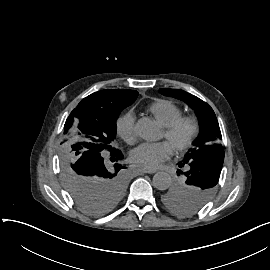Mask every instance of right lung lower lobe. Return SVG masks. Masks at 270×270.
<instances>
[{"mask_svg": "<svg viewBox=\"0 0 270 270\" xmlns=\"http://www.w3.org/2000/svg\"><path fill=\"white\" fill-rule=\"evenodd\" d=\"M115 162H116V161H115ZM115 162H112V164H115ZM107 163H108V162H107ZM107 163L104 162L105 165H107ZM110 163H111V162H110ZM119 164H121V160H120V163H119ZM122 166H123V165H122ZM124 168H126V167L124 166Z\"/></svg>", "mask_w": 270, "mask_h": 270, "instance_id": "obj_1", "label": "right lung lower lobe"}]
</instances>
